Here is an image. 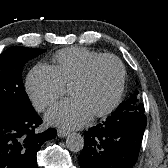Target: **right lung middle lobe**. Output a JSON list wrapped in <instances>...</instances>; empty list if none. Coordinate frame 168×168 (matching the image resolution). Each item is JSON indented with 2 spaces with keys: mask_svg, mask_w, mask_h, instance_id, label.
Instances as JSON below:
<instances>
[{
  "mask_svg": "<svg viewBox=\"0 0 168 168\" xmlns=\"http://www.w3.org/2000/svg\"><path fill=\"white\" fill-rule=\"evenodd\" d=\"M46 50L14 46L0 55V107L33 110L22 82L23 66Z\"/></svg>",
  "mask_w": 168,
  "mask_h": 168,
  "instance_id": "right-lung-middle-lobe-1",
  "label": "right lung middle lobe"
}]
</instances>
